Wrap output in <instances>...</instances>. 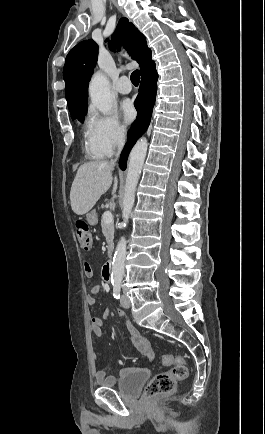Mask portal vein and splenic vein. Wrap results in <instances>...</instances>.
<instances>
[{"instance_id": "obj_1", "label": "portal vein and splenic vein", "mask_w": 265, "mask_h": 434, "mask_svg": "<svg viewBox=\"0 0 265 434\" xmlns=\"http://www.w3.org/2000/svg\"><path fill=\"white\" fill-rule=\"evenodd\" d=\"M102 220L105 222V224H110V222H113V216L111 212H104Z\"/></svg>"}]
</instances>
